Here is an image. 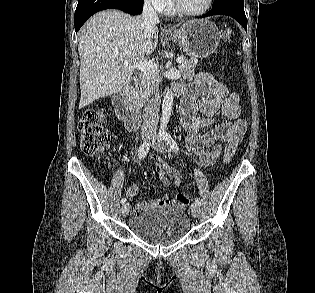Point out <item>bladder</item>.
<instances>
[{"instance_id":"obj_1","label":"bladder","mask_w":315,"mask_h":293,"mask_svg":"<svg viewBox=\"0 0 315 293\" xmlns=\"http://www.w3.org/2000/svg\"><path fill=\"white\" fill-rule=\"evenodd\" d=\"M188 215L177 206L146 209L129 220L131 232L154 245H169L181 240L190 230Z\"/></svg>"}]
</instances>
